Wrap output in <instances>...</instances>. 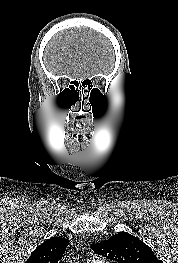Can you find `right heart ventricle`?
<instances>
[{"mask_svg":"<svg viewBox=\"0 0 178 263\" xmlns=\"http://www.w3.org/2000/svg\"><path fill=\"white\" fill-rule=\"evenodd\" d=\"M84 263H106V262L99 260V259H90V260L85 261Z\"/></svg>","mask_w":178,"mask_h":263,"instance_id":"1","label":"right heart ventricle"}]
</instances>
